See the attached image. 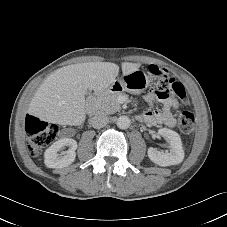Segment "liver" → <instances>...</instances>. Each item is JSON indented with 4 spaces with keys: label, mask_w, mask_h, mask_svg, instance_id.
I'll use <instances>...</instances> for the list:
<instances>
[{
    "label": "liver",
    "mask_w": 227,
    "mask_h": 227,
    "mask_svg": "<svg viewBox=\"0 0 227 227\" xmlns=\"http://www.w3.org/2000/svg\"><path fill=\"white\" fill-rule=\"evenodd\" d=\"M123 74L141 64L123 62ZM119 66L111 62H88L64 66L49 75L34 94L28 112L53 124L78 126L85 121L87 90L106 91L115 81Z\"/></svg>",
    "instance_id": "obj_1"
}]
</instances>
